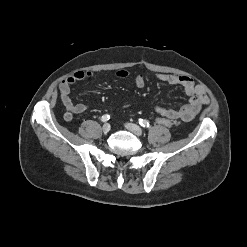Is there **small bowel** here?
Returning a JSON list of instances; mask_svg holds the SVG:
<instances>
[{"label":"small bowel","mask_w":247,"mask_h":247,"mask_svg":"<svg viewBox=\"0 0 247 247\" xmlns=\"http://www.w3.org/2000/svg\"><path fill=\"white\" fill-rule=\"evenodd\" d=\"M115 76L118 78H126L129 76V72L125 69H121L115 73ZM93 77L94 74L92 72L79 70L60 82L58 89L60 99L65 109L64 119L66 121H71L74 115L84 113L88 110L87 104L72 102L70 95L71 86L78 81ZM156 78L164 83L182 87L189 96V101L179 109L156 105L154 110L162 117H167L175 121H190L199 113L201 108L209 102L206 90L202 86L195 84L194 80L188 76L159 73L156 74ZM145 83L146 78L142 74H138L134 79V84L137 88H143Z\"/></svg>","instance_id":"obj_1"}]
</instances>
